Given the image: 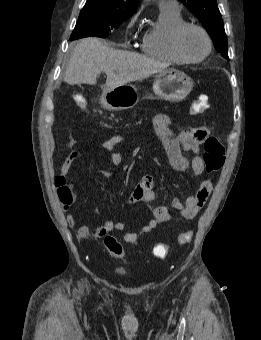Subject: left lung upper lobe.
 <instances>
[{
  "label": "left lung upper lobe",
  "instance_id": "1",
  "mask_svg": "<svg viewBox=\"0 0 261 340\" xmlns=\"http://www.w3.org/2000/svg\"><path fill=\"white\" fill-rule=\"evenodd\" d=\"M200 20L211 36L214 46L228 59L227 37L216 0H179Z\"/></svg>",
  "mask_w": 261,
  "mask_h": 340
}]
</instances>
